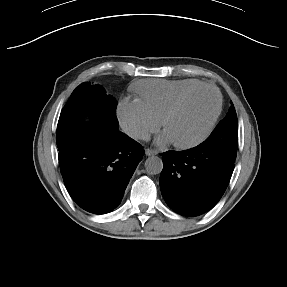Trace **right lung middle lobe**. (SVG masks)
<instances>
[{"label":"right lung middle lobe","instance_id":"obj_1","mask_svg":"<svg viewBox=\"0 0 287 287\" xmlns=\"http://www.w3.org/2000/svg\"><path fill=\"white\" fill-rule=\"evenodd\" d=\"M117 101L107 95L102 86L90 82L80 84L71 94L62 109L57 125V147L59 151L67 148L83 128L104 125L118 128L115 115ZM83 113L91 114V122H84Z\"/></svg>","mask_w":287,"mask_h":287}]
</instances>
